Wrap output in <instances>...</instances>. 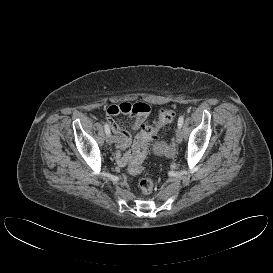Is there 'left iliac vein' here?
Instances as JSON below:
<instances>
[{
    "mask_svg": "<svg viewBox=\"0 0 273 273\" xmlns=\"http://www.w3.org/2000/svg\"><path fill=\"white\" fill-rule=\"evenodd\" d=\"M175 135H176V142L178 144H180L182 142V139H183V134H182L181 128H179V127L177 128Z\"/></svg>",
    "mask_w": 273,
    "mask_h": 273,
    "instance_id": "obj_1",
    "label": "left iliac vein"
}]
</instances>
